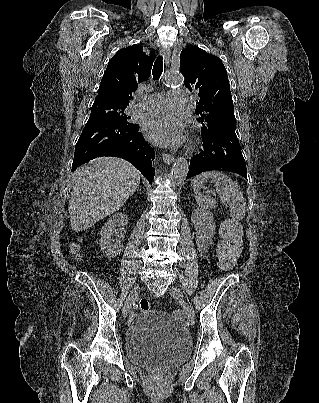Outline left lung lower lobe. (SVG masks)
I'll return each instance as SVG.
<instances>
[{
	"label": "left lung lower lobe",
	"mask_w": 319,
	"mask_h": 403,
	"mask_svg": "<svg viewBox=\"0 0 319 403\" xmlns=\"http://www.w3.org/2000/svg\"><path fill=\"white\" fill-rule=\"evenodd\" d=\"M202 142L201 152L191 158L187 178L210 170L230 171L247 178L235 124L223 125L202 134Z\"/></svg>",
	"instance_id": "0a47b994"
}]
</instances>
